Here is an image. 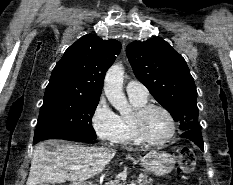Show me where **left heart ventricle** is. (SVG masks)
Here are the masks:
<instances>
[{
	"mask_svg": "<svg viewBox=\"0 0 233 185\" xmlns=\"http://www.w3.org/2000/svg\"><path fill=\"white\" fill-rule=\"evenodd\" d=\"M145 129L151 139L160 140L170 133L171 124L165 113L153 109L145 118Z\"/></svg>",
	"mask_w": 233,
	"mask_h": 185,
	"instance_id": "left-heart-ventricle-1",
	"label": "left heart ventricle"
}]
</instances>
